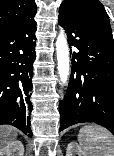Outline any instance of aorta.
<instances>
[{"label":"aorta","instance_id":"1","mask_svg":"<svg viewBox=\"0 0 114 156\" xmlns=\"http://www.w3.org/2000/svg\"><path fill=\"white\" fill-rule=\"evenodd\" d=\"M56 53H57V65L60 80L65 84L68 80L70 71V57H69V47L67 44V37L63 30L60 31L58 38L56 40Z\"/></svg>","mask_w":114,"mask_h":156}]
</instances>
